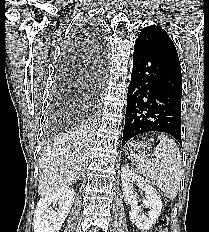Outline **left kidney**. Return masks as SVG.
<instances>
[{
    "label": "left kidney",
    "instance_id": "obj_1",
    "mask_svg": "<svg viewBox=\"0 0 209 232\" xmlns=\"http://www.w3.org/2000/svg\"><path fill=\"white\" fill-rule=\"evenodd\" d=\"M122 191L126 204L131 205L130 220L141 231H147L156 222L161 214L162 201L157 191L150 185L149 181L137 175L128 165L122 167ZM136 184L145 193L142 199L143 205L149 209L148 217L142 214V206L138 204L136 191L133 188Z\"/></svg>",
    "mask_w": 209,
    "mask_h": 232
}]
</instances>
